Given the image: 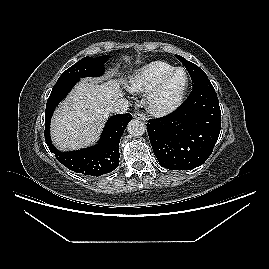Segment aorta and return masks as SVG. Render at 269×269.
Segmentation results:
<instances>
[{
    "mask_svg": "<svg viewBox=\"0 0 269 269\" xmlns=\"http://www.w3.org/2000/svg\"><path fill=\"white\" fill-rule=\"evenodd\" d=\"M127 130L132 136H141L146 131V125L138 119H133L129 122Z\"/></svg>",
    "mask_w": 269,
    "mask_h": 269,
    "instance_id": "aorta-1",
    "label": "aorta"
}]
</instances>
